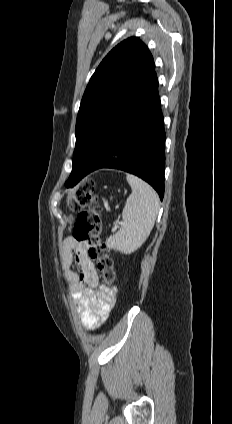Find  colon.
<instances>
[{"label":"colon","mask_w":232,"mask_h":424,"mask_svg":"<svg viewBox=\"0 0 232 424\" xmlns=\"http://www.w3.org/2000/svg\"><path fill=\"white\" fill-rule=\"evenodd\" d=\"M65 201L70 213H78L72 230L74 239L87 244L88 254L96 261L105 282L113 285L117 276L115 263L100 237L102 218L100 209L95 206V182L86 179L67 193ZM68 218L72 220L71 215Z\"/></svg>","instance_id":"obj_1"}]
</instances>
